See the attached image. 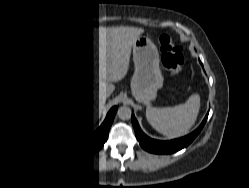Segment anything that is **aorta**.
Wrapping results in <instances>:
<instances>
[{
  "label": "aorta",
  "instance_id": "1",
  "mask_svg": "<svg viewBox=\"0 0 249 188\" xmlns=\"http://www.w3.org/2000/svg\"><path fill=\"white\" fill-rule=\"evenodd\" d=\"M117 116L121 120H127L131 117V110L128 107H120L117 111Z\"/></svg>",
  "mask_w": 249,
  "mask_h": 188
}]
</instances>
